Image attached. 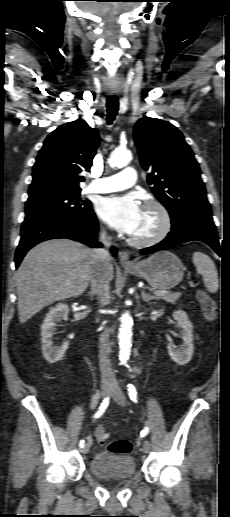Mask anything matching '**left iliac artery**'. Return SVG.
I'll return each mask as SVG.
<instances>
[{
    "mask_svg": "<svg viewBox=\"0 0 230 517\" xmlns=\"http://www.w3.org/2000/svg\"><path fill=\"white\" fill-rule=\"evenodd\" d=\"M128 387V395L130 397V399L133 401V402H137V392H136V389L135 387L132 385V384H128L127 385ZM149 430L150 428L148 426H146L143 431L141 432V437H144L146 436L148 433H149Z\"/></svg>",
    "mask_w": 230,
    "mask_h": 517,
    "instance_id": "left-iliac-artery-1",
    "label": "left iliac artery"
}]
</instances>
